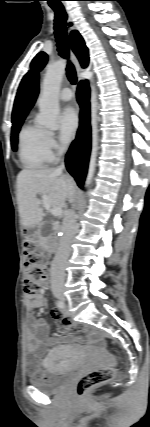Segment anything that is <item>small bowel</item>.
<instances>
[{"instance_id":"obj_1","label":"small bowel","mask_w":150,"mask_h":427,"mask_svg":"<svg viewBox=\"0 0 150 427\" xmlns=\"http://www.w3.org/2000/svg\"><path fill=\"white\" fill-rule=\"evenodd\" d=\"M45 303V298L43 293H38L33 296H29L27 299V308L29 311H32L38 307H41ZM53 318L56 320L57 324L60 326L61 330L64 332H72L75 329V324L67 318H63V313L56 309L52 312ZM28 341H27V351L35 359L40 352H44L47 349L49 344L56 342L69 344L73 342V338L69 336H55L51 337L49 335L48 324L43 318L34 317L29 315L28 318ZM52 357L47 355L44 364L49 365ZM29 376L33 379H43L45 374L40 371L36 365H31L29 367Z\"/></svg>"}]
</instances>
